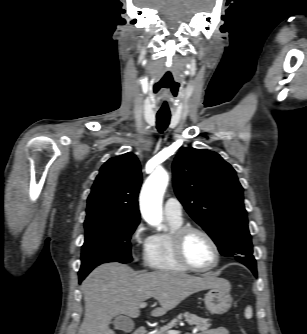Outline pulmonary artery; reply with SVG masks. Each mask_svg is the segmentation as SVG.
Instances as JSON below:
<instances>
[{
    "instance_id": "pulmonary-artery-1",
    "label": "pulmonary artery",
    "mask_w": 307,
    "mask_h": 334,
    "mask_svg": "<svg viewBox=\"0 0 307 334\" xmlns=\"http://www.w3.org/2000/svg\"><path fill=\"white\" fill-rule=\"evenodd\" d=\"M164 215L167 219L175 222H182L183 210L180 201L177 198H169L166 200L163 209Z\"/></svg>"
}]
</instances>
